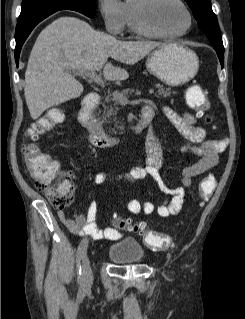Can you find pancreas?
<instances>
[{
  "label": "pancreas",
  "mask_w": 245,
  "mask_h": 319,
  "mask_svg": "<svg viewBox=\"0 0 245 319\" xmlns=\"http://www.w3.org/2000/svg\"><path fill=\"white\" fill-rule=\"evenodd\" d=\"M157 97H168L171 95L170 88H165L163 85H160L159 83L156 84ZM134 92V89H123L121 91V94L124 96L131 95ZM103 107V113L100 117L101 121L103 123H110L111 117H113L114 127L109 128V132L116 133L118 129L124 130V127L122 125H119L120 122L116 120L117 111L119 110L118 102L114 99V97H111L110 95L106 96L105 101L102 104Z\"/></svg>",
  "instance_id": "pancreas-1"
}]
</instances>
